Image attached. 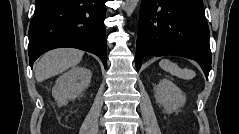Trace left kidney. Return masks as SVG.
Wrapping results in <instances>:
<instances>
[{"instance_id": "obj_1", "label": "left kidney", "mask_w": 239, "mask_h": 134, "mask_svg": "<svg viewBox=\"0 0 239 134\" xmlns=\"http://www.w3.org/2000/svg\"><path fill=\"white\" fill-rule=\"evenodd\" d=\"M155 98L168 114L176 112L186 102L183 92L173 82L165 78L160 80L155 88Z\"/></svg>"}]
</instances>
